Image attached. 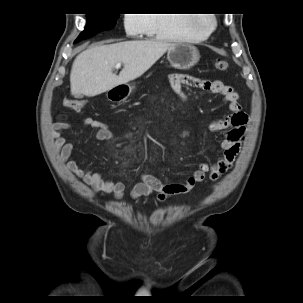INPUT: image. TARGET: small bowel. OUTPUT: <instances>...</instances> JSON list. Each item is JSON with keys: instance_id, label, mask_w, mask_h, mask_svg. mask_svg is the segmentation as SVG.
<instances>
[{"instance_id": "1", "label": "small bowel", "mask_w": 303, "mask_h": 303, "mask_svg": "<svg viewBox=\"0 0 303 303\" xmlns=\"http://www.w3.org/2000/svg\"><path fill=\"white\" fill-rule=\"evenodd\" d=\"M168 80L171 89L181 101H187L188 99L183 91L184 86L207 90L221 96L231 114L226 118L210 122L206 129L208 131L228 130V132L220 143L221 155L214 163L203 162L192 175L182 181L172 183H163L154 175L145 173L142 175V181L136 184L131 192L133 199L148 197L152 193H156L157 201L164 202L170 197L188 193L196 183L202 182L206 175H209L212 180H217L234 163L245 136L248 117L242 113L239 95L232 86L219 80L213 82L200 80L184 73H172ZM83 123L97 130L96 137L98 140H113L115 138L114 132L102 121L87 117L83 120ZM70 128L69 122H61L56 124L50 132L54 149L61 160L75 176L81 178L95 193L101 196L111 194L116 200L122 199L125 192V184L122 181H112L104 178L98 172L85 170L72 158L74 146L67 142L65 137L61 136V132Z\"/></svg>"}]
</instances>
